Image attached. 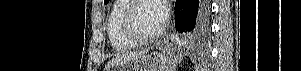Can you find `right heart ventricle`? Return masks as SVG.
I'll return each instance as SVG.
<instances>
[{
    "mask_svg": "<svg viewBox=\"0 0 301 71\" xmlns=\"http://www.w3.org/2000/svg\"><path fill=\"white\" fill-rule=\"evenodd\" d=\"M129 0H117L113 3L107 20V34L115 51H128L136 47V43L129 40L122 28V16Z\"/></svg>",
    "mask_w": 301,
    "mask_h": 71,
    "instance_id": "e07e8e85",
    "label": "right heart ventricle"
}]
</instances>
